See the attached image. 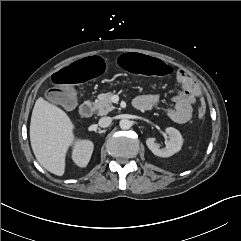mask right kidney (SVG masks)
<instances>
[{
  "mask_svg": "<svg viewBox=\"0 0 241 241\" xmlns=\"http://www.w3.org/2000/svg\"><path fill=\"white\" fill-rule=\"evenodd\" d=\"M94 145L89 140H77L72 151V159L79 167H86L90 161Z\"/></svg>",
  "mask_w": 241,
  "mask_h": 241,
  "instance_id": "ca27d5eb",
  "label": "right kidney"
}]
</instances>
